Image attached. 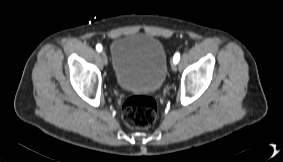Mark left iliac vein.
Here are the masks:
<instances>
[{
	"mask_svg": "<svg viewBox=\"0 0 283 162\" xmlns=\"http://www.w3.org/2000/svg\"><path fill=\"white\" fill-rule=\"evenodd\" d=\"M172 70H173V71H176V70H177V65H176V63H173V64H172Z\"/></svg>",
	"mask_w": 283,
	"mask_h": 162,
	"instance_id": "4c4485c4",
	"label": "left iliac vein"
}]
</instances>
